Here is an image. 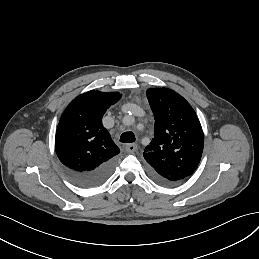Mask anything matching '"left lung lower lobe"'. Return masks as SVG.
Returning a JSON list of instances; mask_svg holds the SVG:
<instances>
[{"mask_svg":"<svg viewBox=\"0 0 259 259\" xmlns=\"http://www.w3.org/2000/svg\"><path fill=\"white\" fill-rule=\"evenodd\" d=\"M151 177H152L156 182H158V183H160V184H162V185L172 186V185H175V184L180 183V182H178V183H173V182L164 181V180H162L161 178H159V177L153 175L152 173H151Z\"/></svg>","mask_w":259,"mask_h":259,"instance_id":"1","label":"left lung lower lobe"}]
</instances>
